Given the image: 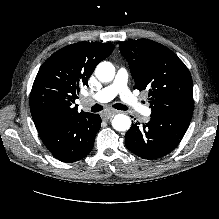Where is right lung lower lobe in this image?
I'll list each match as a JSON object with an SVG mask.
<instances>
[{
  "label": "right lung lower lobe",
  "mask_w": 219,
  "mask_h": 219,
  "mask_svg": "<svg viewBox=\"0 0 219 219\" xmlns=\"http://www.w3.org/2000/svg\"><path fill=\"white\" fill-rule=\"evenodd\" d=\"M101 118L79 113L38 127L46 147L59 160L74 162L85 157L94 145Z\"/></svg>",
  "instance_id": "98d812e1"
}]
</instances>
